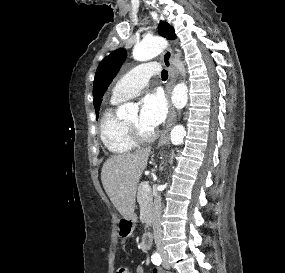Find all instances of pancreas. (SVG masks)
<instances>
[{
    "label": "pancreas",
    "instance_id": "obj_1",
    "mask_svg": "<svg viewBox=\"0 0 285 273\" xmlns=\"http://www.w3.org/2000/svg\"><path fill=\"white\" fill-rule=\"evenodd\" d=\"M137 200L139 202L141 211H143L145 214L146 227H148L150 225L153 197L151 190L146 192L143 189V183L138 187Z\"/></svg>",
    "mask_w": 285,
    "mask_h": 273
}]
</instances>
